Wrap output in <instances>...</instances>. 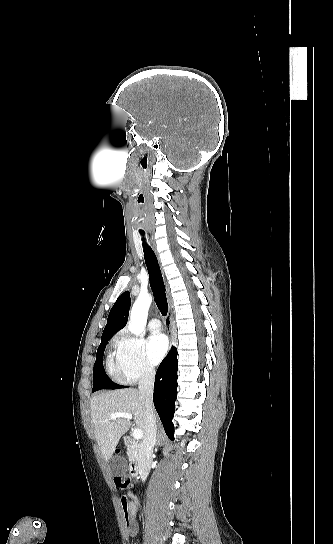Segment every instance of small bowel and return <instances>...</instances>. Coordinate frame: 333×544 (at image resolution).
I'll list each match as a JSON object with an SVG mask.
<instances>
[{
    "label": "small bowel",
    "instance_id": "small-bowel-1",
    "mask_svg": "<svg viewBox=\"0 0 333 544\" xmlns=\"http://www.w3.org/2000/svg\"><path fill=\"white\" fill-rule=\"evenodd\" d=\"M121 506L126 518V528L131 536H134L138 532V524L136 521L137 505L135 497L132 494L123 496L121 498Z\"/></svg>",
    "mask_w": 333,
    "mask_h": 544
}]
</instances>
